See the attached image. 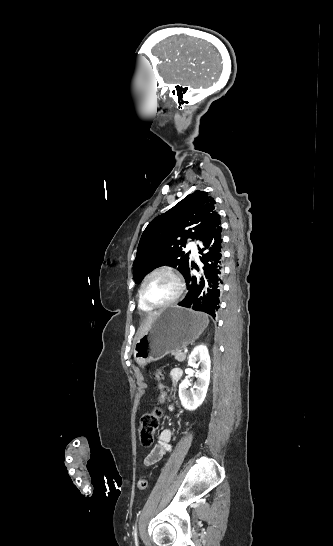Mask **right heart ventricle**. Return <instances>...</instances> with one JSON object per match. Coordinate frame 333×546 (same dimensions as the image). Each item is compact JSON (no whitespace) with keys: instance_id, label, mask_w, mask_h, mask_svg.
<instances>
[{"instance_id":"e07e8e85","label":"right heart ventricle","mask_w":333,"mask_h":546,"mask_svg":"<svg viewBox=\"0 0 333 546\" xmlns=\"http://www.w3.org/2000/svg\"><path fill=\"white\" fill-rule=\"evenodd\" d=\"M138 306L140 308V310L144 311V312H151L153 310V308L147 306L143 300L141 299V296H140V292L138 293Z\"/></svg>"}]
</instances>
